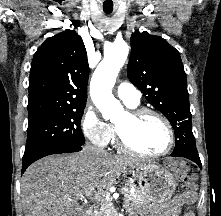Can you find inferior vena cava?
Returning <instances> with one entry per match:
<instances>
[{
  "label": "inferior vena cava",
  "mask_w": 221,
  "mask_h": 216,
  "mask_svg": "<svg viewBox=\"0 0 221 216\" xmlns=\"http://www.w3.org/2000/svg\"><path fill=\"white\" fill-rule=\"evenodd\" d=\"M85 150H87L91 153H96V154L104 153L103 149L97 148V147H94V146H91V145H86Z\"/></svg>",
  "instance_id": "1"
}]
</instances>
